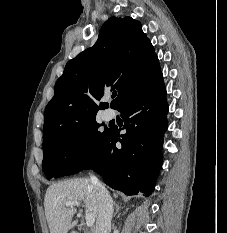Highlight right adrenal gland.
<instances>
[{"mask_svg":"<svg viewBox=\"0 0 227 233\" xmlns=\"http://www.w3.org/2000/svg\"><path fill=\"white\" fill-rule=\"evenodd\" d=\"M115 212L114 217L118 214L119 210L121 209V206H119L116 202H114Z\"/></svg>","mask_w":227,"mask_h":233,"instance_id":"2a0ac1e0","label":"right adrenal gland"}]
</instances>
